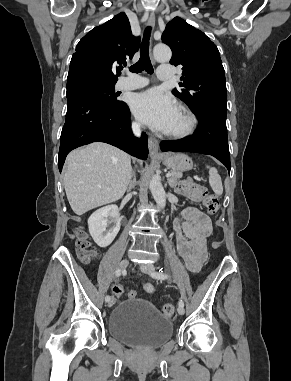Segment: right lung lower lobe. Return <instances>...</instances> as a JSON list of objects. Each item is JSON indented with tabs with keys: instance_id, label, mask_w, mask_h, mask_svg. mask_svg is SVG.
Masks as SVG:
<instances>
[{
	"instance_id": "98d812e1",
	"label": "right lung lower lobe",
	"mask_w": 291,
	"mask_h": 381,
	"mask_svg": "<svg viewBox=\"0 0 291 381\" xmlns=\"http://www.w3.org/2000/svg\"><path fill=\"white\" fill-rule=\"evenodd\" d=\"M66 95V121L58 155L60 172L71 150L95 141L106 142L140 159L147 158V136H133L130 111L124 102L111 105L90 85L78 81L67 82Z\"/></svg>"
}]
</instances>
